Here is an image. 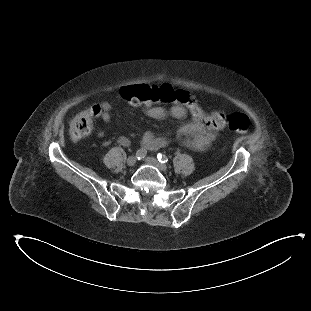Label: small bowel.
I'll use <instances>...</instances> for the list:
<instances>
[{"label":"small bowel","mask_w":311,"mask_h":311,"mask_svg":"<svg viewBox=\"0 0 311 311\" xmlns=\"http://www.w3.org/2000/svg\"><path fill=\"white\" fill-rule=\"evenodd\" d=\"M164 87V86H163ZM112 104L105 102L103 104V112L101 119L109 123L111 121L110 111L112 110ZM145 114L152 119L163 120L167 117H173L175 119H184L187 115V110L182 105H175L169 109L147 104L144 107ZM177 139L187 148L194 151H203L208 145L215 139V134L207 132L205 127L198 122H191L184 125L179 129L177 133ZM119 143L127 146L129 140L126 137H120ZM141 143L144 148L148 150H156L168 143V140L164 137H157L151 132H147L143 135Z\"/></svg>","instance_id":"c3829d8e"}]
</instances>
